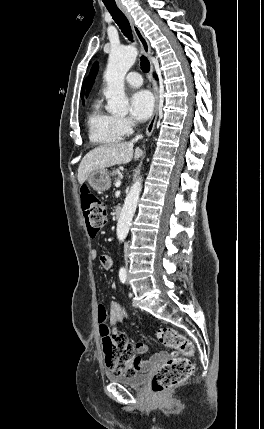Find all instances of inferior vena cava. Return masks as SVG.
Returning a JSON list of instances; mask_svg holds the SVG:
<instances>
[{
	"label": "inferior vena cava",
	"mask_w": 264,
	"mask_h": 429,
	"mask_svg": "<svg viewBox=\"0 0 264 429\" xmlns=\"http://www.w3.org/2000/svg\"><path fill=\"white\" fill-rule=\"evenodd\" d=\"M142 135H137L132 142H136L137 140L141 139ZM126 245L129 243L127 240L124 242ZM123 251H124V255H125V263L126 266L128 264V260H127V255H129V250H128V246H123Z\"/></svg>",
	"instance_id": "obj_1"
}]
</instances>
